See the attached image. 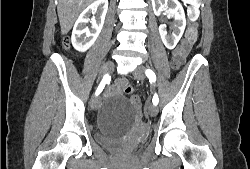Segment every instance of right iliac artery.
Returning a JSON list of instances; mask_svg holds the SVG:
<instances>
[{
  "mask_svg": "<svg viewBox=\"0 0 250 169\" xmlns=\"http://www.w3.org/2000/svg\"><path fill=\"white\" fill-rule=\"evenodd\" d=\"M110 80H111V77L108 74H106L103 77L102 81L100 82V84H99V86H98V88L96 90V93H95L96 96H98L102 92V90L105 87V84L108 83Z\"/></svg>",
  "mask_w": 250,
  "mask_h": 169,
  "instance_id": "obj_1",
  "label": "right iliac artery"
}]
</instances>
